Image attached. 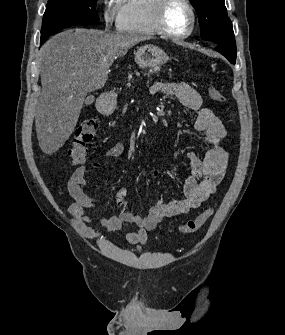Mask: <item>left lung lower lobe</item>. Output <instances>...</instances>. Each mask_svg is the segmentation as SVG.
<instances>
[{
    "label": "left lung lower lobe",
    "instance_id": "1",
    "mask_svg": "<svg viewBox=\"0 0 285 335\" xmlns=\"http://www.w3.org/2000/svg\"><path fill=\"white\" fill-rule=\"evenodd\" d=\"M214 49L223 54L232 64L236 62V46L233 49H223L220 45H215Z\"/></svg>",
    "mask_w": 285,
    "mask_h": 335
}]
</instances>
